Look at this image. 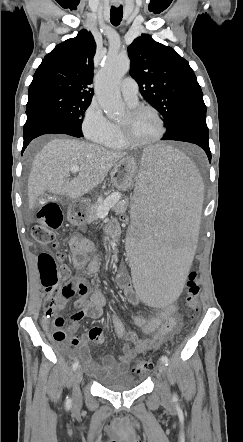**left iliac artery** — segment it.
<instances>
[{
	"instance_id": "obj_1",
	"label": "left iliac artery",
	"mask_w": 243,
	"mask_h": 442,
	"mask_svg": "<svg viewBox=\"0 0 243 442\" xmlns=\"http://www.w3.org/2000/svg\"><path fill=\"white\" fill-rule=\"evenodd\" d=\"M161 360H162V362L165 363V365H168L169 360H168V357H167L166 355H162V356H161ZM173 398H174V399H177V396L174 395Z\"/></svg>"
}]
</instances>
